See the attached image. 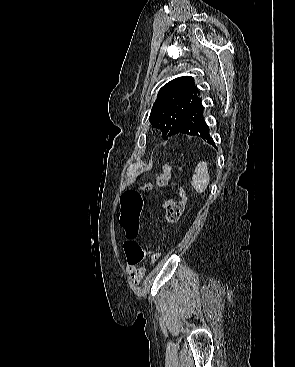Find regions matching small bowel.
Returning a JSON list of instances; mask_svg holds the SVG:
<instances>
[{
    "mask_svg": "<svg viewBox=\"0 0 295 367\" xmlns=\"http://www.w3.org/2000/svg\"><path fill=\"white\" fill-rule=\"evenodd\" d=\"M127 272L130 275L133 283L135 285L140 284V282L142 281L146 269L143 266H139L138 264H130L129 262L127 263Z\"/></svg>",
    "mask_w": 295,
    "mask_h": 367,
    "instance_id": "obj_1",
    "label": "small bowel"
}]
</instances>
